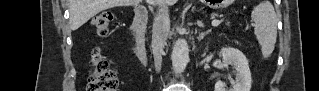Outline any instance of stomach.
<instances>
[{"label":"stomach","instance_id":"0dacf381","mask_svg":"<svg viewBox=\"0 0 319 91\" xmlns=\"http://www.w3.org/2000/svg\"><path fill=\"white\" fill-rule=\"evenodd\" d=\"M212 3L210 4L211 7L213 8H222L224 7V2L222 1H211Z\"/></svg>","mask_w":319,"mask_h":91}]
</instances>
